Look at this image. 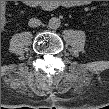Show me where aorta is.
Returning a JSON list of instances; mask_svg holds the SVG:
<instances>
[{
	"instance_id": "1",
	"label": "aorta",
	"mask_w": 109,
	"mask_h": 109,
	"mask_svg": "<svg viewBox=\"0 0 109 109\" xmlns=\"http://www.w3.org/2000/svg\"><path fill=\"white\" fill-rule=\"evenodd\" d=\"M60 24H61V21L58 17H53L49 20V27L51 28H59L60 27Z\"/></svg>"
}]
</instances>
